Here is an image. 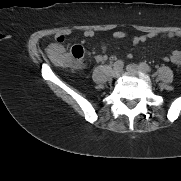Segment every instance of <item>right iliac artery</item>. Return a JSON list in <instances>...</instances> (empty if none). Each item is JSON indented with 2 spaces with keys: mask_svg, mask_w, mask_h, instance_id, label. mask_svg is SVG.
<instances>
[{
  "mask_svg": "<svg viewBox=\"0 0 181 181\" xmlns=\"http://www.w3.org/2000/svg\"><path fill=\"white\" fill-rule=\"evenodd\" d=\"M123 61L122 60H118V61H116L115 63H114V67H122L123 66Z\"/></svg>",
  "mask_w": 181,
  "mask_h": 181,
  "instance_id": "obj_1",
  "label": "right iliac artery"
}]
</instances>
